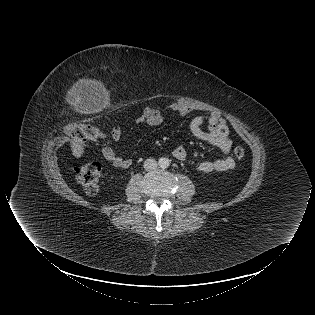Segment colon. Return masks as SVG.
Here are the masks:
<instances>
[{
	"label": "colon",
	"mask_w": 315,
	"mask_h": 315,
	"mask_svg": "<svg viewBox=\"0 0 315 315\" xmlns=\"http://www.w3.org/2000/svg\"><path fill=\"white\" fill-rule=\"evenodd\" d=\"M71 149L75 157L80 158L84 153L85 144L103 137V134L92 126L76 125L68 131ZM234 155L238 160L243 159L245 150L241 146L234 147ZM101 166L98 162H88L76 167L77 182L86 193L95 194L99 188Z\"/></svg>",
	"instance_id": "obj_1"
}]
</instances>
